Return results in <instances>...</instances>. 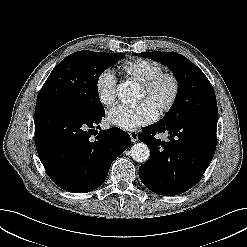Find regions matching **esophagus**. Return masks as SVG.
Wrapping results in <instances>:
<instances>
[{
	"instance_id": "esophagus-1",
	"label": "esophagus",
	"mask_w": 247,
	"mask_h": 247,
	"mask_svg": "<svg viewBox=\"0 0 247 247\" xmlns=\"http://www.w3.org/2000/svg\"><path fill=\"white\" fill-rule=\"evenodd\" d=\"M129 135H130L131 141H132L133 143H135V142L138 141V132H137V131L131 130V131L129 132Z\"/></svg>"
}]
</instances>
